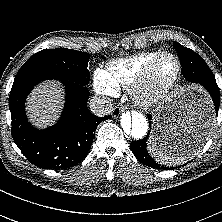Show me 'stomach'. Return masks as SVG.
<instances>
[{
	"instance_id": "1",
	"label": "stomach",
	"mask_w": 222,
	"mask_h": 222,
	"mask_svg": "<svg viewBox=\"0 0 222 222\" xmlns=\"http://www.w3.org/2000/svg\"><path fill=\"white\" fill-rule=\"evenodd\" d=\"M210 111V101L202 89L195 86L177 88L156 108L150 138L168 146L171 139L186 124L198 117L208 115Z\"/></svg>"
}]
</instances>
